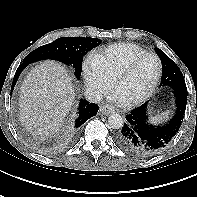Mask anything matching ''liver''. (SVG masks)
Masks as SVG:
<instances>
[{
    "instance_id": "obj_1",
    "label": "liver",
    "mask_w": 197,
    "mask_h": 197,
    "mask_svg": "<svg viewBox=\"0 0 197 197\" xmlns=\"http://www.w3.org/2000/svg\"><path fill=\"white\" fill-rule=\"evenodd\" d=\"M75 99L72 78L58 62L46 60L35 66L20 88V121L42 138L55 134Z\"/></svg>"
}]
</instances>
